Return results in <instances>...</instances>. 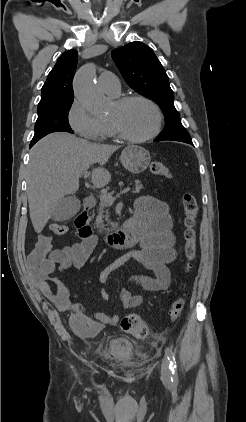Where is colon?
Here are the masks:
<instances>
[{
    "mask_svg": "<svg viewBox=\"0 0 246 422\" xmlns=\"http://www.w3.org/2000/svg\"><path fill=\"white\" fill-rule=\"evenodd\" d=\"M151 172L156 176L170 177V171L166 164L162 162H153L150 166ZM183 210L185 214L184 224V256L187 260L186 268L190 267V262L195 258L197 237H196V218L198 214V203L195 196L191 193H185L182 198ZM68 227L65 224L54 223L50 225L52 236H61L66 234ZM52 236L40 235L28 257V266L36 279H42L47 276L51 269L49 255L52 250ZM184 308V300L181 297L176 298L169 309L171 321H176ZM122 329L128 334L138 339H145L150 335V331L145 322L137 314H129L121 321Z\"/></svg>",
    "mask_w": 246,
    "mask_h": 422,
    "instance_id": "5ec220e1",
    "label": "colon"
}]
</instances>
